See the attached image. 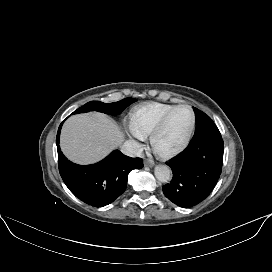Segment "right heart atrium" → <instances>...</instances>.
<instances>
[{
	"label": "right heart atrium",
	"mask_w": 272,
	"mask_h": 272,
	"mask_svg": "<svg viewBox=\"0 0 272 272\" xmlns=\"http://www.w3.org/2000/svg\"><path fill=\"white\" fill-rule=\"evenodd\" d=\"M134 137H135V140H133V144H134L135 147H139V142H138V140H139L140 138L137 137L136 135H134Z\"/></svg>",
	"instance_id": "d8ad5b80"
}]
</instances>
